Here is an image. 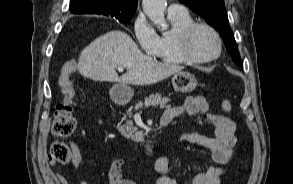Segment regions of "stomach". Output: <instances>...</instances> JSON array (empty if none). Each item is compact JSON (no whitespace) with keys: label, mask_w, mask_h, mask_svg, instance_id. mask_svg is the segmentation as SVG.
Here are the masks:
<instances>
[{"label":"stomach","mask_w":293,"mask_h":184,"mask_svg":"<svg viewBox=\"0 0 293 184\" xmlns=\"http://www.w3.org/2000/svg\"><path fill=\"white\" fill-rule=\"evenodd\" d=\"M172 85L177 92L190 93L197 86V79L189 72L180 71L173 75ZM133 95V89L127 84H116L110 90V97L118 104L128 103Z\"/></svg>","instance_id":"0dacf381"}]
</instances>
